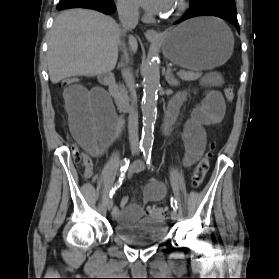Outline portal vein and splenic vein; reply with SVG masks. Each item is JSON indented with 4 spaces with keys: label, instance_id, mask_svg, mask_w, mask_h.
Listing matches in <instances>:
<instances>
[{
    "label": "portal vein and splenic vein",
    "instance_id": "portal-vein-and-splenic-vein-1",
    "mask_svg": "<svg viewBox=\"0 0 279 279\" xmlns=\"http://www.w3.org/2000/svg\"><path fill=\"white\" fill-rule=\"evenodd\" d=\"M179 73V72H178ZM185 77H189V75L187 73L184 74Z\"/></svg>",
    "mask_w": 279,
    "mask_h": 279
}]
</instances>
